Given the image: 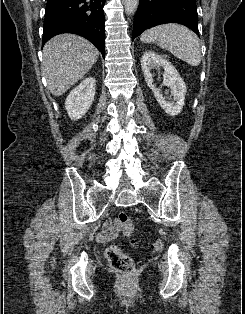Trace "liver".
I'll return each instance as SVG.
<instances>
[{
	"mask_svg": "<svg viewBox=\"0 0 245 314\" xmlns=\"http://www.w3.org/2000/svg\"><path fill=\"white\" fill-rule=\"evenodd\" d=\"M99 57L98 49L85 38L61 34L43 48L42 71L54 96H61L90 70Z\"/></svg>",
	"mask_w": 245,
	"mask_h": 314,
	"instance_id": "1",
	"label": "liver"
}]
</instances>
